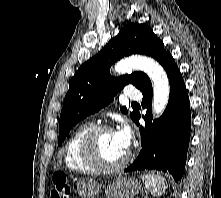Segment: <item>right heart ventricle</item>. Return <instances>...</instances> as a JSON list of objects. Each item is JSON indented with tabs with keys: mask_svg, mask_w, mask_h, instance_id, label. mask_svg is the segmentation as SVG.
<instances>
[{
	"mask_svg": "<svg viewBox=\"0 0 221 198\" xmlns=\"http://www.w3.org/2000/svg\"><path fill=\"white\" fill-rule=\"evenodd\" d=\"M92 127V124H83L69 136L64 148V163L69 170L81 173L96 171L84 160L82 155V141Z\"/></svg>",
	"mask_w": 221,
	"mask_h": 198,
	"instance_id": "right-heart-ventricle-1",
	"label": "right heart ventricle"
}]
</instances>
